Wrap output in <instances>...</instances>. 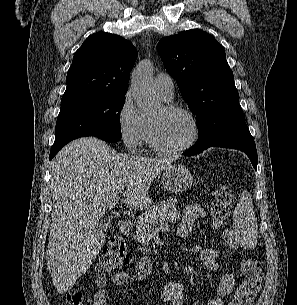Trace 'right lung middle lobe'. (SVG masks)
Returning a JSON list of instances; mask_svg holds the SVG:
<instances>
[{
	"mask_svg": "<svg viewBox=\"0 0 297 305\" xmlns=\"http://www.w3.org/2000/svg\"><path fill=\"white\" fill-rule=\"evenodd\" d=\"M125 101L121 95H89L61 101L52 148L63 147L84 136L121 139L120 112Z\"/></svg>",
	"mask_w": 297,
	"mask_h": 305,
	"instance_id": "right-lung-middle-lobe-1",
	"label": "right lung middle lobe"
}]
</instances>
